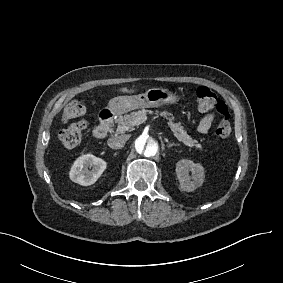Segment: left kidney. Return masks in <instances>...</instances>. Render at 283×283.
<instances>
[{
	"instance_id": "1",
	"label": "left kidney",
	"mask_w": 283,
	"mask_h": 283,
	"mask_svg": "<svg viewBox=\"0 0 283 283\" xmlns=\"http://www.w3.org/2000/svg\"><path fill=\"white\" fill-rule=\"evenodd\" d=\"M175 171L183 191L192 192L203 184L204 168L199 163L183 159L177 162ZM190 171L192 176H189Z\"/></svg>"
}]
</instances>
